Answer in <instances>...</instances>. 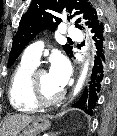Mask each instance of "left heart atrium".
Here are the masks:
<instances>
[{
	"label": "left heart atrium",
	"instance_id": "left-heart-atrium-1",
	"mask_svg": "<svg viewBox=\"0 0 117 136\" xmlns=\"http://www.w3.org/2000/svg\"><path fill=\"white\" fill-rule=\"evenodd\" d=\"M48 74L53 82L62 89L66 85L70 75V66L68 61L62 56L55 57L52 60Z\"/></svg>",
	"mask_w": 117,
	"mask_h": 136
}]
</instances>
